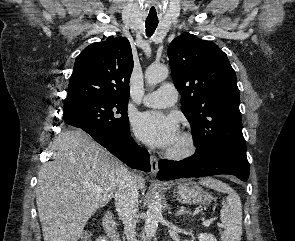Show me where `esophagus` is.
Listing matches in <instances>:
<instances>
[{
    "label": "esophagus",
    "instance_id": "obj_1",
    "mask_svg": "<svg viewBox=\"0 0 295 241\" xmlns=\"http://www.w3.org/2000/svg\"><path fill=\"white\" fill-rule=\"evenodd\" d=\"M150 165H151V173L152 174H157L158 171H159L158 159L154 155L150 156Z\"/></svg>",
    "mask_w": 295,
    "mask_h": 241
}]
</instances>
